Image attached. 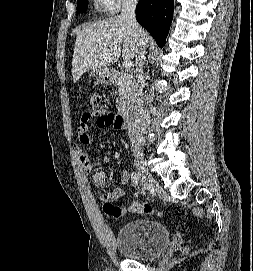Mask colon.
I'll return each mask as SVG.
<instances>
[{"label": "colon", "mask_w": 253, "mask_h": 271, "mask_svg": "<svg viewBox=\"0 0 253 271\" xmlns=\"http://www.w3.org/2000/svg\"><path fill=\"white\" fill-rule=\"evenodd\" d=\"M90 102L92 106L93 113L100 114L104 112L107 106V99L104 95L99 93H93L90 97ZM109 119H113L116 123V119L112 113L109 115ZM107 207H111V205H107ZM128 209L134 213H140L145 215H156L159 217L163 216V213L157 211L151 204L149 203H138L132 202Z\"/></svg>", "instance_id": "1"}]
</instances>
